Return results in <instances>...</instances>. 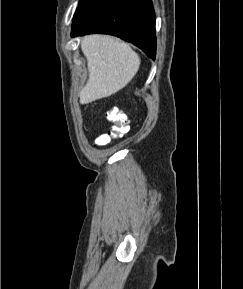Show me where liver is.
<instances>
[{
    "label": "liver",
    "instance_id": "obj_1",
    "mask_svg": "<svg viewBox=\"0 0 243 289\" xmlns=\"http://www.w3.org/2000/svg\"><path fill=\"white\" fill-rule=\"evenodd\" d=\"M81 50L89 72V79L79 94L81 104L109 97L121 90L140 67V57L129 44L107 35L84 37Z\"/></svg>",
    "mask_w": 243,
    "mask_h": 289
}]
</instances>
